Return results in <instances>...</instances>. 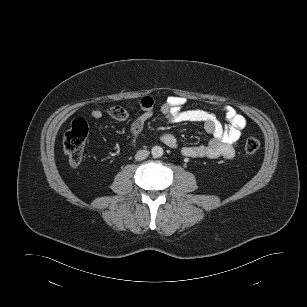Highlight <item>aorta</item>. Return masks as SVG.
I'll list each match as a JSON object with an SVG mask.
<instances>
[{
    "label": "aorta",
    "instance_id": "aorta-1",
    "mask_svg": "<svg viewBox=\"0 0 307 307\" xmlns=\"http://www.w3.org/2000/svg\"><path fill=\"white\" fill-rule=\"evenodd\" d=\"M163 153H164L163 148L160 146H154L151 149V154L154 158H159L163 156Z\"/></svg>",
    "mask_w": 307,
    "mask_h": 307
}]
</instances>
